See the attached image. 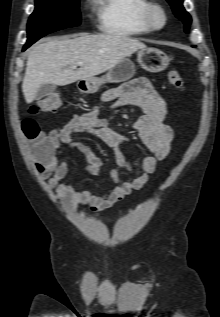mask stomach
<instances>
[{"instance_id": "1", "label": "stomach", "mask_w": 220, "mask_h": 317, "mask_svg": "<svg viewBox=\"0 0 220 317\" xmlns=\"http://www.w3.org/2000/svg\"><path fill=\"white\" fill-rule=\"evenodd\" d=\"M137 62L143 69L155 73L166 69L170 59L159 49L144 48L138 51ZM134 74V63L129 58H124L102 77L79 80L77 87L82 93H95L106 82H124L131 79Z\"/></svg>"}]
</instances>
